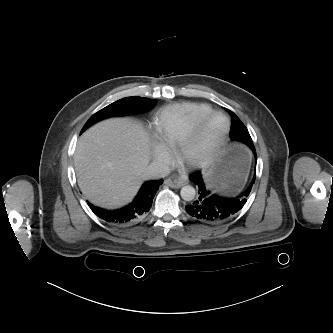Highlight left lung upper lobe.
Returning a JSON list of instances; mask_svg holds the SVG:
<instances>
[{
	"label": "left lung upper lobe",
	"instance_id": "5c2ea615",
	"mask_svg": "<svg viewBox=\"0 0 333 333\" xmlns=\"http://www.w3.org/2000/svg\"><path fill=\"white\" fill-rule=\"evenodd\" d=\"M232 118L231 126V139L236 143H243L247 145L252 151L255 150L251 136L245 127V125L240 121V119L230 110L226 109Z\"/></svg>",
	"mask_w": 333,
	"mask_h": 333
}]
</instances>
